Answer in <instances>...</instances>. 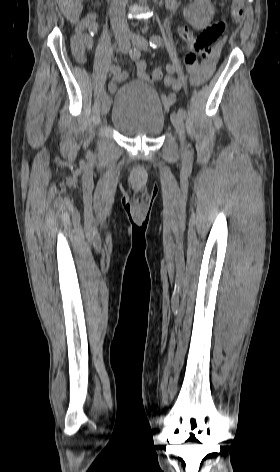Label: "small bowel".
Listing matches in <instances>:
<instances>
[{"instance_id":"obj_1","label":"small bowel","mask_w":280,"mask_h":472,"mask_svg":"<svg viewBox=\"0 0 280 472\" xmlns=\"http://www.w3.org/2000/svg\"><path fill=\"white\" fill-rule=\"evenodd\" d=\"M223 4V1L221 2ZM167 7L170 10L175 11L177 9V1L176 0H167ZM93 24V18L88 17L84 19L76 28V31L72 37L71 47L74 55L76 58L83 62L85 59L86 51L90 50L93 47V40L91 37L84 33L85 29ZM179 36L188 44V46L194 41L195 37L190 32V30L186 27H179L178 28ZM219 49H217L211 56L205 58L201 62H198L195 65H187V72L190 76V81L193 86H200L205 83L207 80L211 78L213 75L216 64L219 57ZM137 68V75L140 80L147 81L148 74L146 72V62L142 59L137 60L136 62ZM125 73H122L119 76H115L112 79L110 88L114 90L118 82H121L125 79ZM164 84L167 87L171 86V80L169 76L164 78ZM161 100L165 106V108H170L176 101V98L172 94H163L161 96Z\"/></svg>"}]
</instances>
